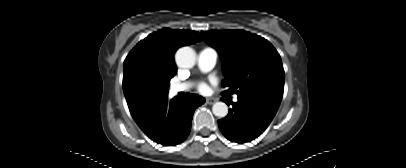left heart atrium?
<instances>
[{"label": "left heart atrium", "instance_id": "left-heart-atrium-1", "mask_svg": "<svg viewBox=\"0 0 406 168\" xmlns=\"http://www.w3.org/2000/svg\"><path fill=\"white\" fill-rule=\"evenodd\" d=\"M198 91L201 93H206L208 91V86L206 83L201 82L198 84Z\"/></svg>", "mask_w": 406, "mask_h": 168}]
</instances>
